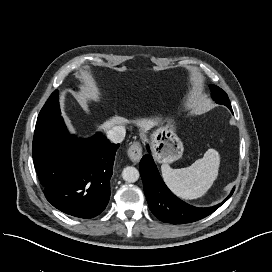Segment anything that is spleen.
<instances>
[{
    "label": "spleen",
    "mask_w": 272,
    "mask_h": 272,
    "mask_svg": "<svg viewBox=\"0 0 272 272\" xmlns=\"http://www.w3.org/2000/svg\"><path fill=\"white\" fill-rule=\"evenodd\" d=\"M219 166V153L208 149L202 158L186 168L173 169L163 164L161 171L166 185L175 195L192 200L202 197L211 188L217 179Z\"/></svg>",
    "instance_id": "1"
}]
</instances>
